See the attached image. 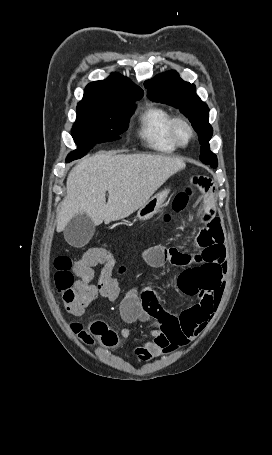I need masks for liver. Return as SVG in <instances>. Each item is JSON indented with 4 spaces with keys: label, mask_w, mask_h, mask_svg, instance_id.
<instances>
[{
    "label": "liver",
    "mask_w": 272,
    "mask_h": 455,
    "mask_svg": "<svg viewBox=\"0 0 272 455\" xmlns=\"http://www.w3.org/2000/svg\"><path fill=\"white\" fill-rule=\"evenodd\" d=\"M185 167L182 159L163 155L108 152L82 159L68 175L57 232L78 214H87L94 225L128 217Z\"/></svg>",
    "instance_id": "liver-1"
}]
</instances>
